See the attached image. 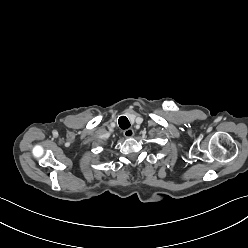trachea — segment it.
<instances>
[{"label":"trachea","instance_id":"1","mask_svg":"<svg viewBox=\"0 0 248 248\" xmlns=\"http://www.w3.org/2000/svg\"><path fill=\"white\" fill-rule=\"evenodd\" d=\"M118 124H119L121 129H127L130 127L129 120L124 116H122L118 119Z\"/></svg>","mask_w":248,"mask_h":248}]
</instances>
